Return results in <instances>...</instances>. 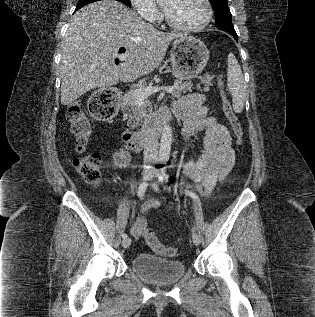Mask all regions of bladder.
<instances>
[{"label":"bladder","mask_w":315,"mask_h":317,"mask_svg":"<svg viewBox=\"0 0 315 317\" xmlns=\"http://www.w3.org/2000/svg\"><path fill=\"white\" fill-rule=\"evenodd\" d=\"M130 266L141 278L155 285L173 283L186 271L182 261L166 259L150 253L135 255L130 261Z\"/></svg>","instance_id":"1"}]
</instances>
